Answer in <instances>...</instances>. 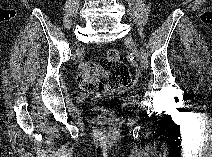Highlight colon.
<instances>
[{
    "mask_svg": "<svg viewBox=\"0 0 212 157\" xmlns=\"http://www.w3.org/2000/svg\"><path fill=\"white\" fill-rule=\"evenodd\" d=\"M79 86L87 92L117 90L131 83V74L118 49H110L99 61H85Z\"/></svg>",
    "mask_w": 212,
    "mask_h": 157,
    "instance_id": "5ec220e1",
    "label": "colon"
}]
</instances>
